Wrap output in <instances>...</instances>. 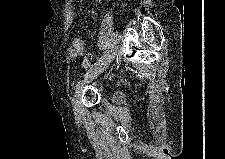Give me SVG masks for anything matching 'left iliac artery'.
Returning a JSON list of instances; mask_svg holds the SVG:
<instances>
[{
	"instance_id": "44dca946",
	"label": "left iliac artery",
	"mask_w": 225,
	"mask_h": 159,
	"mask_svg": "<svg viewBox=\"0 0 225 159\" xmlns=\"http://www.w3.org/2000/svg\"><path fill=\"white\" fill-rule=\"evenodd\" d=\"M110 52V50L106 51L102 57H100L95 63H94V68H96L102 61L103 59L108 55V53ZM92 69H90L89 71L86 72V74L84 76H86Z\"/></svg>"
}]
</instances>
